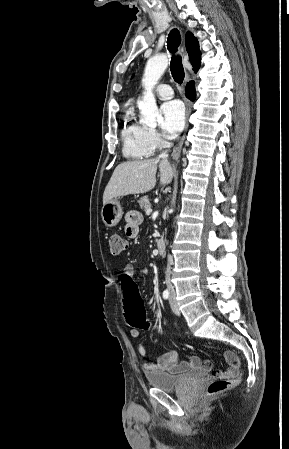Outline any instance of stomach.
<instances>
[{
	"label": "stomach",
	"mask_w": 289,
	"mask_h": 449,
	"mask_svg": "<svg viewBox=\"0 0 289 449\" xmlns=\"http://www.w3.org/2000/svg\"><path fill=\"white\" fill-rule=\"evenodd\" d=\"M123 215L122 207L117 198L109 200L103 205L101 210V217L104 224L108 227H113L118 224Z\"/></svg>",
	"instance_id": "0dacf381"
}]
</instances>
